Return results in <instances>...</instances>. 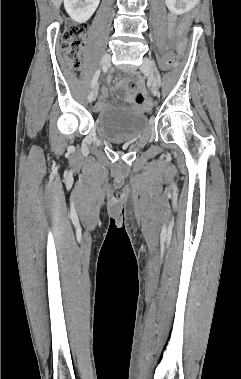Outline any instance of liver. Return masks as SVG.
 I'll list each match as a JSON object with an SVG mask.
<instances>
[{"label":"liver","mask_w":241,"mask_h":379,"mask_svg":"<svg viewBox=\"0 0 241 379\" xmlns=\"http://www.w3.org/2000/svg\"><path fill=\"white\" fill-rule=\"evenodd\" d=\"M56 7H59L62 0H52Z\"/></svg>","instance_id":"1"}]
</instances>
